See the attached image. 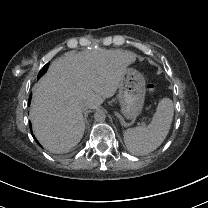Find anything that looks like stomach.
I'll return each instance as SVG.
<instances>
[{
    "label": "stomach",
    "instance_id": "0dacf381",
    "mask_svg": "<svg viewBox=\"0 0 208 208\" xmlns=\"http://www.w3.org/2000/svg\"><path fill=\"white\" fill-rule=\"evenodd\" d=\"M118 87L122 114L128 119L136 118L144 104L146 92L144 76L139 71L128 68Z\"/></svg>",
    "mask_w": 208,
    "mask_h": 208
}]
</instances>
